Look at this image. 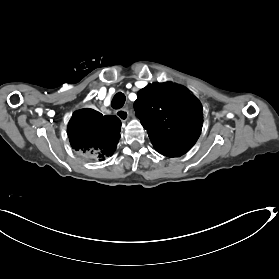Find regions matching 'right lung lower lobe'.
<instances>
[{
    "mask_svg": "<svg viewBox=\"0 0 279 279\" xmlns=\"http://www.w3.org/2000/svg\"><path fill=\"white\" fill-rule=\"evenodd\" d=\"M121 121L93 109L76 111L68 125L71 147L87 160L111 156L120 139Z\"/></svg>",
    "mask_w": 279,
    "mask_h": 279,
    "instance_id": "1",
    "label": "right lung lower lobe"
}]
</instances>
